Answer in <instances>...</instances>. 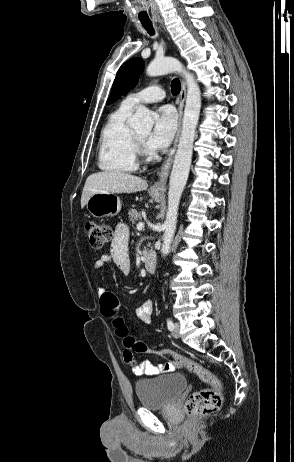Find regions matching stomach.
Returning <instances> with one entry per match:
<instances>
[{
	"label": "stomach",
	"instance_id": "1",
	"mask_svg": "<svg viewBox=\"0 0 294 462\" xmlns=\"http://www.w3.org/2000/svg\"><path fill=\"white\" fill-rule=\"evenodd\" d=\"M149 195L157 202L161 198L159 193L153 191H149ZM86 208L96 218L114 217L121 210V201L114 193H95L88 199Z\"/></svg>",
	"mask_w": 294,
	"mask_h": 462
}]
</instances>
